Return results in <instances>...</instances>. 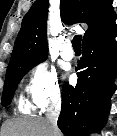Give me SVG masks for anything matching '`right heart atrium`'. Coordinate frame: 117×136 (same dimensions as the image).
Here are the masks:
<instances>
[{"label": "right heart atrium", "mask_w": 117, "mask_h": 136, "mask_svg": "<svg viewBox=\"0 0 117 136\" xmlns=\"http://www.w3.org/2000/svg\"><path fill=\"white\" fill-rule=\"evenodd\" d=\"M26 91L35 107L45 108L57 102L61 89L56 71L46 62H39L30 71Z\"/></svg>", "instance_id": "1"}]
</instances>
